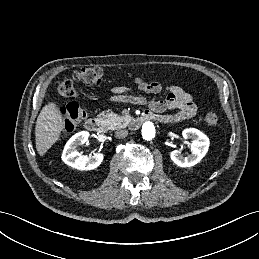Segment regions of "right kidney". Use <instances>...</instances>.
<instances>
[{"mask_svg": "<svg viewBox=\"0 0 259 259\" xmlns=\"http://www.w3.org/2000/svg\"><path fill=\"white\" fill-rule=\"evenodd\" d=\"M88 138L89 132L81 131L68 140L62 153L64 163L78 170H93L102 163L104 158L102 153H96L92 157H88L81 155L76 150L79 145L87 142Z\"/></svg>", "mask_w": 259, "mask_h": 259, "instance_id": "ca27d5eb", "label": "right kidney"}]
</instances>
